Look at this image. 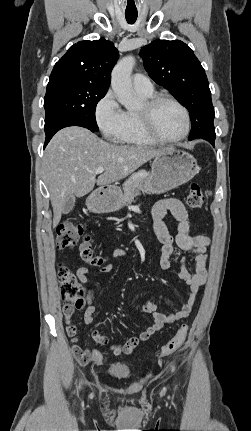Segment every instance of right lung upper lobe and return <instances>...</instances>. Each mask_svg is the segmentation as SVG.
Wrapping results in <instances>:
<instances>
[{
	"label": "right lung upper lobe",
	"mask_w": 251,
	"mask_h": 431,
	"mask_svg": "<svg viewBox=\"0 0 251 431\" xmlns=\"http://www.w3.org/2000/svg\"><path fill=\"white\" fill-rule=\"evenodd\" d=\"M119 57L114 44L104 38L72 45L55 64L50 78L72 77L109 88L110 74Z\"/></svg>",
	"instance_id": "right-lung-upper-lobe-1"
}]
</instances>
